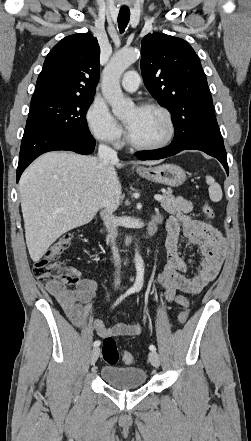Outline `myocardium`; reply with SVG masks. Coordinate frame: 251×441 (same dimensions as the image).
I'll return each mask as SVG.
<instances>
[{"label": "myocardium", "mask_w": 251, "mask_h": 441, "mask_svg": "<svg viewBox=\"0 0 251 441\" xmlns=\"http://www.w3.org/2000/svg\"><path fill=\"white\" fill-rule=\"evenodd\" d=\"M140 109H155L160 111L166 118L167 124H168V134L167 136L160 142L155 143V144H144V143H140L138 141H136L133 136L131 135L129 129H126V140L127 142L134 148L139 149V150H158V149H162L166 146H168L174 136H175V132H176V127H175V123H174V119L173 116L171 114V112L163 105L159 104V103H155V102H145L142 103L141 105H139Z\"/></svg>", "instance_id": "1"}]
</instances>
